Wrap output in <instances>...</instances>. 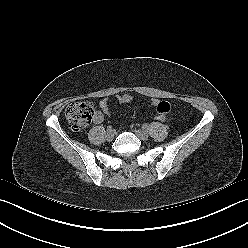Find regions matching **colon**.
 Returning a JSON list of instances; mask_svg holds the SVG:
<instances>
[{
    "label": "colon",
    "instance_id": "5ec220e1",
    "mask_svg": "<svg viewBox=\"0 0 248 248\" xmlns=\"http://www.w3.org/2000/svg\"><path fill=\"white\" fill-rule=\"evenodd\" d=\"M94 112L95 107L91 101H79L67 106L65 109V117L70 128L75 132H80L90 124ZM154 119L161 123L166 121V117L160 113L156 115Z\"/></svg>",
    "mask_w": 248,
    "mask_h": 248
}]
</instances>
